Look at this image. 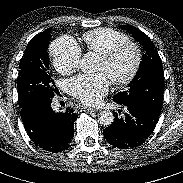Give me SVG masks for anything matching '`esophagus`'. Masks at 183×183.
Instances as JSON below:
<instances>
[{"label": "esophagus", "mask_w": 183, "mask_h": 183, "mask_svg": "<svg viewBox=\"0 0 183 183\" xmlns=\"http://www.w3.org/2000/svg\"><path fill=\"white\" fill-rule=\"evenodd\" d=\"M79 109H82V110H85V111H95L94 108H90V107H87V106H81V107H79Z\"/></svg>", "instance_id": "34e87169"}]
</instances>
